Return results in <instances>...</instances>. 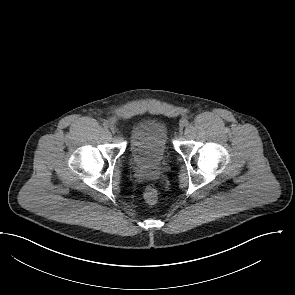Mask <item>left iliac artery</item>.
I'll list each match as a JSON object with an SVG mask.
<instances>
[{
    "instance_id": "44dca946",
    "label": "left iliac artery",
    "mask_w": 295,
    "mask_h": 295,
    "mask_svg": "<svg viewBox=\"0 0 295 295\" xmlns=\"http://www.w3.org/2000/svg\"><path fill=\"white\" fill-rule=\"evenodd\" d=\"M182 124H183L184 126H188V125H189V121H188V120H184V121H182Z\"/></svg>"
}]
</instances>
